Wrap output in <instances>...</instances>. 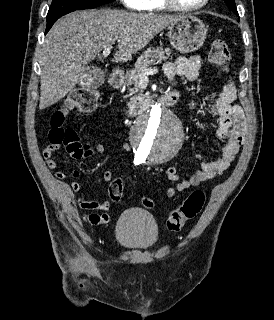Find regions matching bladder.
Returning <instances> with one entry per match:
<instances>
[{"instance_id":"bladder-1","label":"bladder","mask_w":274,"mask_h":320,"mask_svg":"<svg viewBox=\"0 0 274 320\" xmlns=\"http://www.w3.org/2000/svg\"><path fill=\"white\" fill-rule=\"evenodd\" d=\"M115 235L118 243L126 249L144 250L158 240V227L154 218L145 210L132 208L119 217Z\"/></svg>"}]
</instances>
